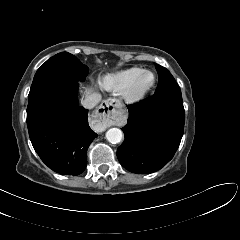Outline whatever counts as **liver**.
I'll return each mask as SVG.
<instances>
[{"instance_id":"obj_1","label":"liver","mask_w":240,"mask_h":240,"mask_svg":"<svg viewBox=\"0 0 240 240\" xmlns=\"http://www.w3.org/2000/svg\"><path fill=\"white\" fill-rule=\"evenodd\" d=\"M86 94L88 95V94H90L91 92H92V90L91 89H86Z\"/></svg>"}]
</instances>
